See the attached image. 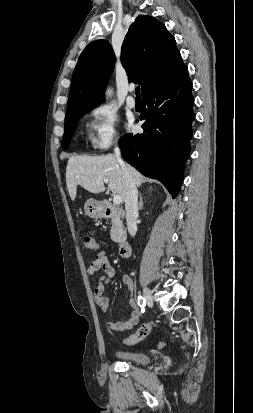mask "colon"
Masks as SVG:
<instances>
[{
	"instance_id": "1",
	"label": "colon",
	"mask_w": 253,
	"mask_h": 413,
	"mask_svg": "<svg viewBox=\"0 0 253 413\" xmlns=\"http://www.w3.org/2000/svg\"><path fill=\"white\" fill-rule=\"evenodd\" d=\"M82 246L91 251H96L98 250L99 246L98 243L89 235H84L82 238ZM153 322H146L140 326V328L132 335H130L128 338L125 339V342L127 344H135L141 340H143L151 331V329L154 327Z\"/></svg>"
}]
</instances>
